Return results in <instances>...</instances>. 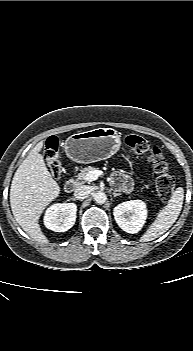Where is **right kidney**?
<instances>
[{"instance_id":"obj_1","label":"right kidney","mask_w":193,"mask_h":351,"mask_svg":"<svg viewBox=\"0 0 193 351\" xmlns=\"http://www.w3.org/2000/svg\"><path fill=\"white\" fill-rule=\"evenodd\" d=\"M77 206L74 203H56L45 212L44 225L55 232L69 230L76 221Z\"/></svg>"}]
</instances>
